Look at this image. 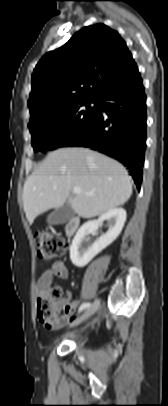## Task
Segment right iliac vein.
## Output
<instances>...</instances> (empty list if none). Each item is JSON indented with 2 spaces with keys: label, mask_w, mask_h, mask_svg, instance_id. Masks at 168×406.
Here are the masks:
<instances>
[{
  "label": "right iliac vein",
  "mask_w": 168,
  "mask_h": 406,
  "mask_svg": "<svg viewBox=\"0 0 168 406\" xmlns=\"http://www.w3.org/2000/svg\"><path fill=\"white\" fill-rule=\"evenodd\" d=\"M100 300L96 299L93 304L75 321L74 326L80 324L82 321L92 316L99 308Z\"/></svg>",
  "instance_id": "right-iliac-vein-1"
}]
</instances>
